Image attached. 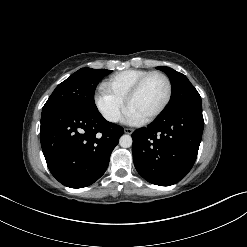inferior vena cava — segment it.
I'll return each mask as SVG.
<instances>
[{
  "label": "inferior vena cava",
  "instance_id": "1",
  "mask_svg": "<svg viewBox=\"0 0 247 247\" xmlns=\"http://www.w3.org/2000/svg\"><path fill=\"white\" fill-rule=\"evenodd\" d=\"M106 119L108 121H111V122H117L118 119H119V116L117 114H110L106 117Z\"/></svg>",
  "mask_w": 247,
  "mask_h": 247
}]
</instances>
